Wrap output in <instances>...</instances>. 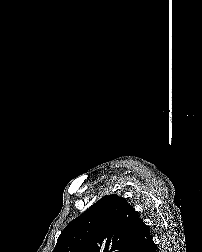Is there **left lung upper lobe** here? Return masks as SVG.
Instances as JSON below:
<instances>
[{"instance_id": "5c2ea615", "label": "left lung upper lobe", "mask_w": 202, "mask_h": 252, "mask_svg": "<svg viewBox=\"0 0 202 252\" xmlns=\"http://www.w3.org/2000/svg\"><path fill=\"white\" fill-rule=\"evenodd\" d=\"M141 221L127 200L106 195L66 226L53 252H132Z\"/></svg>"}]
</instances>
